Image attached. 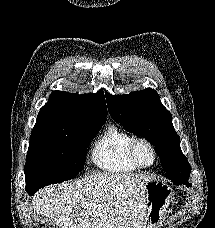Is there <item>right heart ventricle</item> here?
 <instances>
[{"instance_id": "e07e8e85", "label": "right heart ventricle", "mask_w": 215, "mask_h": 228, "mask_svg": "<svg viewBox=\"0 0 215 228\" xmlns=\"http://www.w3.org/2000/svg\"><path fill=\"white\" fill-rule=\"evenodd\" d=\"M135 136L116 126H108L91 150L92 162L102 171L127 174L138 170L129 158V147Z\"/></svg>"}]
</instances>
